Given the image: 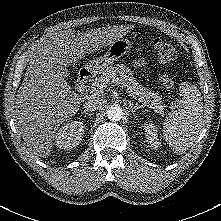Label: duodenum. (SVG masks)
Returning <instances> with one entry per match:
<instances>
[{
  "instance_id": "1",
  "label": "duodenum",
  "mask_w": 221,
  "mask_h": 221,
  "mask_svg": "<svg viewBox=\"0 0 221 221\" xmlns=\"http://www.w3.org/2000/svg\"><path fill=\"white\" fill-rule=\"evenodd\" d=\"M92 77V73L87 68H82L79 72V76L77 79V89L81 94H84L86 91L87 84L89 83Z\"/></svg>"
}]
</instances>
